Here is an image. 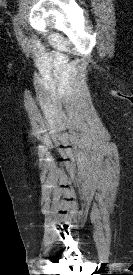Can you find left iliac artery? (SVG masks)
I'll use <instances>...</instances> for the list:
<instances>
[{"label": "left iliac artery", "instance_id": "obj_1", "mask_svg": "<svg viewBox=\"0 0 133 275\" xmlns=\"http://www.w3.org/2000/svg\"><path fill=\"white\" fill-rule=\"evenodd\" d=\"M18 21H19V14H16V15H14V17H13V23H14V24H17ZM16 34L18 35V33H16Z\"/></svg>", "mask_w": 133, "mask_h": 275}]
</instances>
